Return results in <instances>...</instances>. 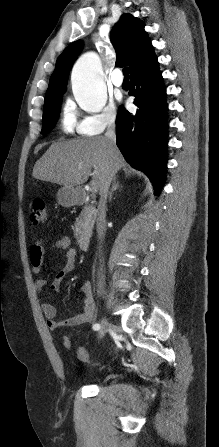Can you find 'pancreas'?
Segmentation results:
<instances>
[{
  "label": "pancreas",
  "instance_id": "obj_1",
  "mask_svg": "<svg viewBox=\"0 0 219 447\" xmlns=\"http://www.w3.org/2000/svg\"><path fill=\"white\" fill-rule=\"evenodd\" d=\"M96 216L97 210L94 207L83 210L75 222V237L90 236L92 234Z\"/></svg>",
  "mask_w": 219,
  "mask_h": 447
}]
</instances>
